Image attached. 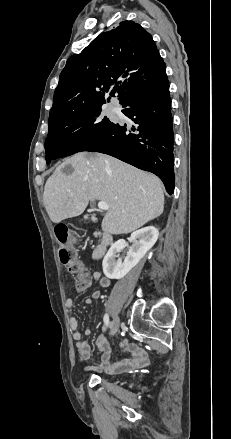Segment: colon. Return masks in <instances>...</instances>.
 I'll use <instances>...</instances> for the list:
<instances>
[{"mask_svg": "<svg viewBox=\"0 0 231 439\" xmlns=\"http://www.w3.org/2000/svg\"><path fill=\"white\" fill-rule=\"evenodd\" d=\"M55 237L58 244V256L60 262L65 265L68 271L76 276V287L80 291L87 290L91 281L83 264L77 260L74 247L80 242L79 236H70L66 226L55 228Z\"/></svg>", "mask_w": 231, "mask_h": 439, "instance_id": "obj_1", "label": "colon"}]
</instances>
